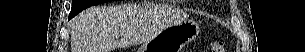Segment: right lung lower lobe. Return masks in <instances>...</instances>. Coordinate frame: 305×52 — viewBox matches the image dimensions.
<instances>
[{
	"instance_id": "obj_1",
	"label": "right lung lower lobe",
	"mask_w": 305,
	"mask_h": 52,
	"mask_svg": "<svg viewBox=\"0 0 305 52\" xmlns=\"http://www.w3.org/2000/svg\"><path fill=\"white\" fill-rule=\"evenodd\" d=\"M72 17H74V15L71 14V12H70V14H69V19H71Z\"/></svg>"
}]
</instances>
